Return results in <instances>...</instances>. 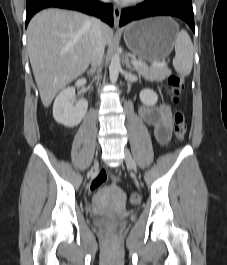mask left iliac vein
<instances>
[{
  "label": "left iliac vein",
  "instance_id": "1",
  "mask_svg": "<svg viewBox=\"0 0 227 265\" xmlns=\"http://www.w3.org/2000/svg\"><path fill=\"white\" fill-rule=\"evenodd\" d=\"M125 161L126 164L136 173L137 172L136 162L127 148L125 149Z\"/></svg>",
  "mask_w": 227,
  "mask_h": 265
}]
</instances>
